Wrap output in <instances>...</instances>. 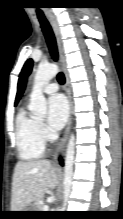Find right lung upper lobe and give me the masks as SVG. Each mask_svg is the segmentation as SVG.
I'll use <instances>...</instances> for the list:
<instances>
[{
    "mask_svg": "<svg viewBox=\"0 0 123 219\" xmlns=\"http://www.w3.org/2000/svg\"><path fill=\"white\" fill-rule=\"evenodd\" d=\"M24 88H25V84L18 90L17 95H16V100H15V105H17L19 99L21 98Z\"/></svg>",
    "mask_w": 123,
    "mask_h": 219,
    "instance_id": "obj_1",
    "label": "right lung upper lobe"
}]
</instances>
